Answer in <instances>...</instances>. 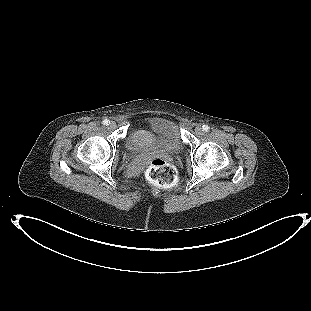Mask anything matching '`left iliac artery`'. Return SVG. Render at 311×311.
I'll return each instance as SVG.
<instances>
[{
  "mask_svg": "<svg viewBox=\"0 0 311 311\" xmlns=\"http://www.w3.org/2000/svg\"><path fill=\"white\" fill-rule=\"evenodd\" d=\"M202 129H203V131L208 132L210 127L208 125H203Z\"/></svg>",
  "mask_w": 311,
  "mask_h": 311,
  "instance_id": "44dca946",
  "label": "left iliac artery"
}]
</instances>
